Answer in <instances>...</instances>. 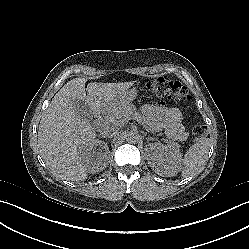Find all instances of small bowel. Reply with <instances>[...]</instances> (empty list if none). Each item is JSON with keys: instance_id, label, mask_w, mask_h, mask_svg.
<instances>
[{"instance_id": "obj_1", "label": "small bowel", "mask_w": 249, "mask_h": 249, "mask_svg": "<svg viewBox=\"0 0 249 249\" xmlns=\"http://www.w3.org/2000/svg\"><path fill=\"white\" fill-rule=\"evenodd\" d=\"M144 111L153 118L167 124L171 133L177 136H183V131L178 127L176 120L171 115L169 108L160 102L149 103L144 107Z\"/></svg>"}]
</instances>
